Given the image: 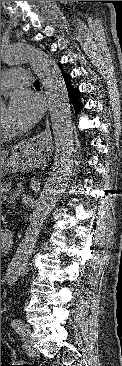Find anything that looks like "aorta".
<instances>
[{"mask_svg": "<svg viewBox=\"0 0 122 366\" xmlns=\"http://www.w3.org/2000/svg\"><path fill=\"white\" fill-rule=\"evenodd\" d=\"M1 61L7 66L29 65L38 74L49 101L50 121L56 146L53 165L12 260V264H17L15 274L20 275L46 219L72 176L75 151L73 121L61 71L46 52L32 44L18 42L2 46Z\"/></svg>", "mask_w": 122, "mask_h": 366, "instance_id": "762f6f07", "label": "aorta"}]
</instances>
